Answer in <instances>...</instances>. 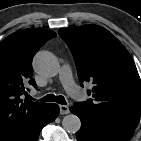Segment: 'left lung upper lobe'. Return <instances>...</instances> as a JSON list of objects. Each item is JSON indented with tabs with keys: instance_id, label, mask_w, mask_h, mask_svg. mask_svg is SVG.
<instances>
[{
	"instance_id": "obj_1",
	"label": "left lung upper lobe",
	"mask_w": 141,
	"mask_h": 141,
	"mask_svg": "<svg viewBox=\"0 0 141 141\" xmlns=\"http://www.w3.org/2000/svg\"><path fill=\"white\" fill-rule=\"evenodd\" d=\"M59 35L73 54L78 77L93 99L79 102L102 119L135 129L141 115V80L134 61L122 43L97 25L60 29Z\"/></svg>"
}]
</instances>
